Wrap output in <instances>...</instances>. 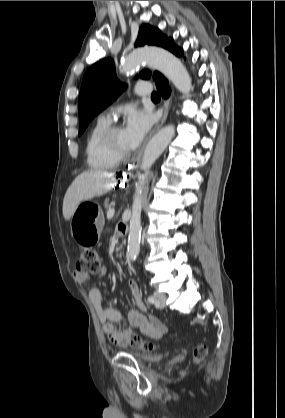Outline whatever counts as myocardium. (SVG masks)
I'll return each mask as SVG.
<instances>
[{"mask_svg": "<svg viewBox=\"0 0 285 418\" xmlns=\"http://www.w3.org/2000/svg\"><path fill=\"white\" fill-rule=\"evenodd\" d=\"M120 128V125L117 123H108L103 130L101 131L98 142L100 146L103 148L105 153L114 159L122 160L128 158L131 154V148L126 150H120L115 147L113 143V138L115 132Z\"/></svg>", "mask_w": 285, "mask_h": 418, "instance_id": "obj_1", "label": "myocardium"}]
</instances>
